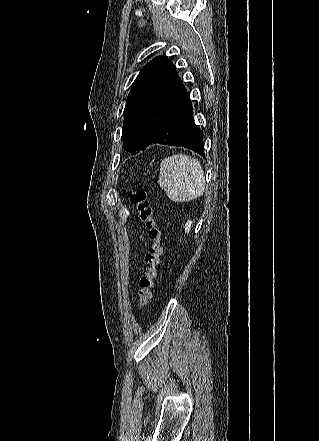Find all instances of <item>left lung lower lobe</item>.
I'll use <instances>...</instances> for the list:
<instances>
[{
	"label": "left lung lower lobe",
	"mask_w": 319,
	"mask_h": 441,
	"mask_svg": "<svg viewBox=\"0 0 319 441\" xmlns=\"http://www.w3.org/2000/svg\"><path fill=\"white\" fill-rule=\"evenodd\" d=\"M189 94L154 133L150 144L182 146L204 155L203 133L195 125Z\"/></svg>",
	"instance_id": "left-lung-lower-lobe-1"
}]
</instances>
